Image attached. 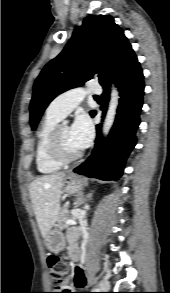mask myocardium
<instances>
[{"mask_svg": "<svg viewBox=\"0 0 170 293\" xmlns=\"http://www.w3.org/2000/svg\"><path fill=\"white\" fill-rule=\"evenodd\" d=\"M62 125L57 124L50 133L48 141V153L50 157L61 164H67L79 159L82 155V151H78L72 155H65L61 149L59 141V130Z\"/></svg>", "mask_w": 170, "mask_h": 293, "instance_id": "f54148a6", "label": "myocardium"}]
</instances>
